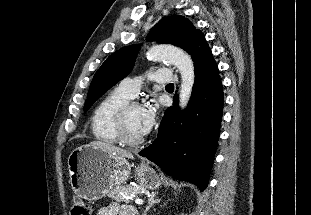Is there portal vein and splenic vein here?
Listing matches in <instances>:
<instances>
[{"mask_svg":"<svg viewBox=\"0 0 311 215\" xmlns=\"http://www.w3.org/2000/svg\"><path fill=\"white\" fill-rule=\"evenodd\" d=\"M132 198V197H131ZM143 200L142 199H139V198H136L135 199V203L137 204V205H141V204H143Z\"/></svg>","mask_w":311,"mask_h":215,"instance_id":"1","label":"portal vein and splenic vein"}]
</instances>
